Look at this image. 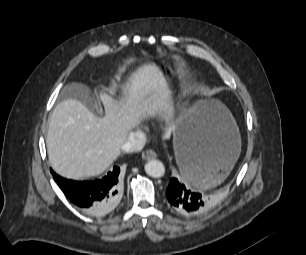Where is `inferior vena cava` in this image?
Instances as JSON below:
<instances>
[{
  "label": "inferior vena cava",
  "instance_id": "inferior-vena-cava-1",
  "mask_svg": "<svg viewBox=\"0 0 306 255\" xmlns=\"http://www.w3.org/2000/svg\"><path fill=\"white\" fill-rule=\"evenodd\" d=\"M146 135L142 131L131 133L121 146L122 150L127 153L138 152L145 145Z\"/></svg>",
  "mask_w": 306,
  "mask_h": 255
}]
</instances>
